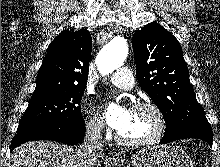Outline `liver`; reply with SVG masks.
<instances>
[{
	"mask_svg": "<svg viewBox=\"0 0 220 167\" xmlns=\"http://www.w3.org/2000/svg\"><path fill=\"white\" fill-rule=\"evenodd\" d=\"M9 167H101V162L99 156L85 160L80 147L30 141L13 150Z\"/></svg>",
	"mask_w": 220,
	"mask_h": 167,
	"instance_id": "6515ba94",
	"label": "liver"
}]
</instances>
